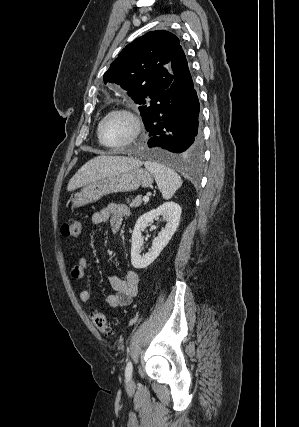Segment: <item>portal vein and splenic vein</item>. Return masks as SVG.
<instances>
[{
    "label": "portal vein and splenic vein",
    "mask_w": 299,
    "mask_h": 427,
    "mask_svg": "<svg viewBox=\"0 0 299 427\" xmlns=\"http://www.w3.org/2000/svg\"><path fill=\"white\" fill-rule=\"evenodd\" d=\"M143 201H144V202H148V201H149V196H148V195H147V196H144V197H143Z\"/></svg>",
    "instance_id": "18ae733b"
}]
</instances>
